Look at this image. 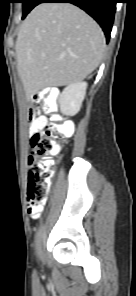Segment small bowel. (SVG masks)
<instances>
[{
    "label": "small bowel",
    "mask_w": 136,
    "mask_h": 296,
    "mask_svg": "<svg viewBox=\"0 0 136 296\" xmlns=\"http://www.w3.org/2000/svg\"><path fill=\"white\" fill-rule=\"evenodd\" d=\"M41 125H42L41 121H34L32 123L31 129H30L31 133H35V132L39 131L41 129ZM41 211H42V209L40 210V212L37 216H32V217L37 218L40 215Z\"/></svg>",
    "instance_id": "small-bowel-1"
}]
</instances>
